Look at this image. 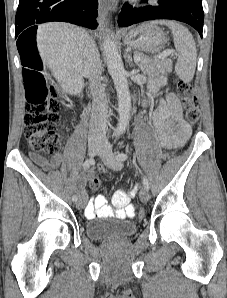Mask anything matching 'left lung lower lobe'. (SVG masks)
Wrapping results in <instances>:
<instances>
[{
	"label": "left lung lower lobe",
	"instance_id": "left-lung-lower-lobe-1",
	"mask_svg": "<svg viewBox=\"0 0 227 298\" xmlns=\"http://www.w3.org/2000/svg\"><path fill=\"white\" fill-rule=\"evenodd\" d=\"M158 3L159 6L156 7L141 8H132L131 5L125 4L119 14V26L126 27L147 20L174 19L191 25L202 37L204 18L202 0H160Z\"/></svg>",
	"mask_w": 227,
	"mask_h": 298
}]
</instances>
